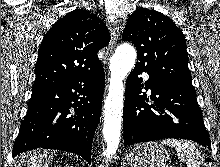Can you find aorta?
<instances>
[{"instance_id": "aorta-1", "label": "aorta", "mask_w": 220, "mask_h": 167, "mask_svg": "<svg viewBox=\"0 0 220 167\" xmlns=\"http://www.w3.org/2000/svg\"><path fill=\"white\" fill-rule=\"evenodd\" d=\"M136 50L127 43L120 45L110 60L109 93L105 100L103 137L106 142L105 156L112 157L118 149L121 136L123 111V80L134 67Z\"/></svg>"}]
</instances>
